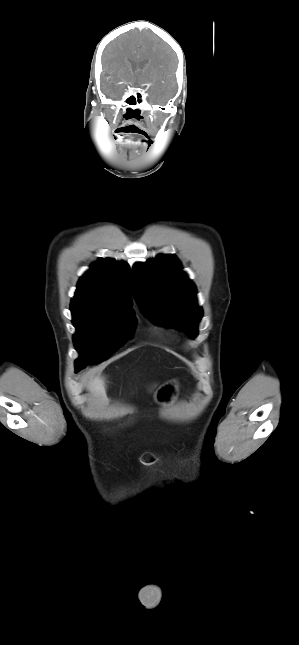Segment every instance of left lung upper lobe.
<instances>
[{
	"label": "left lung upper lobe",
	"instance_id": "obj_1",
	"mask_svg": "<svg viewBox=\"0 0 299 645\" xmlns=\"http://www.w3.org/2000/svg\"><path fill=\"white\" fill-rule=\"evenodd\" d=\"M131 286L142 312L152 321L185 331L190 338L198 335L203 312L197 305L196 287L174 255L160 254L136 263Z\"/></svg>",
	"mask_w": 299,
	"mask_h": 645
}]
</instances>
